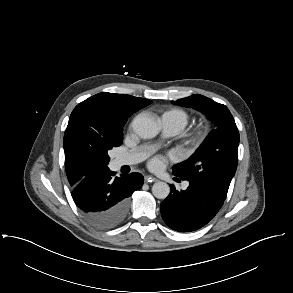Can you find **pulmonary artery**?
Wrapping results in <instances>:
<instances>
[{
	"mask_svg": "<svg viewBox=\"0 0 293 293\" xmlns=\"http://www.w3.org/2000/svg\"><path fill=\"white\" fill-rule=\"evenodd\" d=\"M161 124L163 127L164 136H174L180 132L174 118L171 115H162ZM157 147V144H143L123 156H119L114 160V166L119 168L123 165H132L139 163L146 159L152 151ZM189 183L185 181L182 184L183 189L188 187Z\"/></svg>",
	"mask_w": 293,
	"mask_h": 293,
	"instance_id": "pulmonary-artery-1",
	"label": "pulmonary artery"
}]
</instances>
